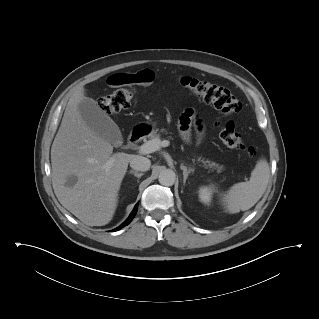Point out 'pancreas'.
Wrapping results in <instances>:
<instances>
[{"label":"pancreas","mask_w":319,"mask_h":319,"mask_svg":"<svg viewBox=\"0 0 319 319\" xmlns=\"http://www.w3.org/2000/svg\"><path fill=\"white\" fill-rule=\"evenodd\" d=\"M161 132H165L164 129L161 130ZM161 137V134L160 133H157V130H153L149 135H148V138L150 140H153V139H160ZM198 161L202 162L203 163V166L205 168H218L220 169L221 166H219L218 164H216L215 162H212L210 160H204V159H201L199 158Z\"/></svg>","instance_id":"pancreas-1"}]
</instances>
